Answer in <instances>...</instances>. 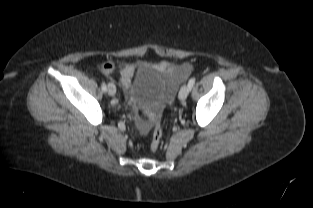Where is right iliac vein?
<instances>
[{"label": "right iliac vein", "mask_w": 313, "mask_h": 208, "mask_svg": "<svg viewBox=\"0 0 313 208\" xmlns=\"http://www.w3.org/2000/svg\"><path fill=\"white\" fill-rule=\"evenodd\" d=\"M115 93H116V87H115V85H114L112 82H109V83H108V94H109L110 96H114Z\"/></svg>", "instance_id": "right-iliac-vein-1"}]
</instances>
